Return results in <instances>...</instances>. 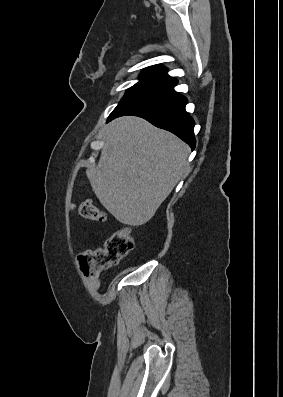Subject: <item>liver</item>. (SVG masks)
<instances>
[{
    "instance_id": "liver-1",
    "label": "liver",
    "mask_w": 283,
    "mask_h": 397,
    "mask_svg": "<svg viewBox=\"0 0 283 397\" xmlns=\"http://www.w3.org/2000/svg\"><path fill=\"white\" fill-rule=\"evenodd\" d=\"M190 148L144 119H115L105 133L98 165L88 172L100 203L119 222H148L188 170Z\"/></svg>"
}]
</instances>
